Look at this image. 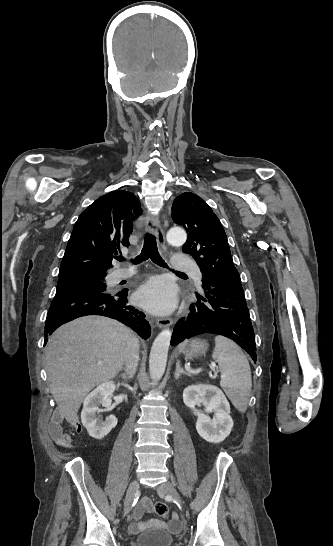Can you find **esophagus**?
<instances>
[{
    "label": "esophagus",
    "mask_w": 333,
    "mask_h": 546,
    "mask_svg": "<svg viewBox=\"0 0 333 546\" xmlns=\"http://www.w3.org/2000/svg\"><path fill=\"white\" fill-rule=\"evenodd\" d=\"M146 230L148 231V233L155 234V236L157 238V241H158V244L161 247L165 246L164 232H163V230L161 228V225H160V222H159V219H158L157 216H154L151 213L147 214V216H146ZM172 323H173V320L171 318H168V317L158 318L157 321H156V324L160 329L167 328V327L171 326Z\"/></svg>",
    "instance_id": "1"
}]
</instances>
